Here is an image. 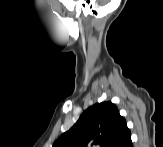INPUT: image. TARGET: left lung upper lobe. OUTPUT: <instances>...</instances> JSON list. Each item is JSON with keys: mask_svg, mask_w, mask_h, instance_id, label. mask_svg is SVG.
I'll list each match as a JSON object with an SVG mask.
<instances>
[{"mask_svg": "<svg viewBox=\"0 0 163 147\" xmlns=\"http://www.w3.org/2000/svg\"><path fill=\"white\" fill-rule=\"evenodd\" d=\"M126 127V120L112 102L97 103L86 109L53 147H114Z\"/></svg>", "mask_w": 163, "mask_h": 147, "instance_id": "left-lung-upper-lobe-1", "label": "left lung upper lobe"}]
</instances>
